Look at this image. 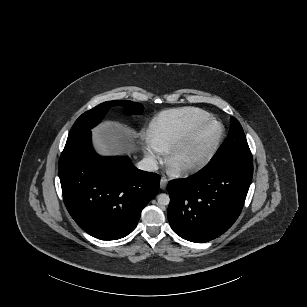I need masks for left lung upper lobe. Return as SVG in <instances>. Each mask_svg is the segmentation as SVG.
<instances>
[{"label":"left lung upper lobe","instance_id":"5c2ea615","mask_svg":"<svg viewBox=\"0 0 307 307\" xmlns=\"http://www.w3.org/2000/svg\"><path fill=\"white\" fill-rule=\"evenodd\" d=\"M230 121L229 134L209 164H215L228 159L252 161V155L243 128L236 118L231 117Z\"/></svg>","mask_w":307,"mask_h":307}]
</instances>
